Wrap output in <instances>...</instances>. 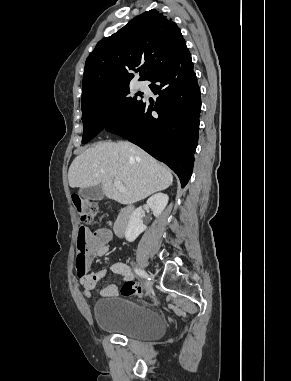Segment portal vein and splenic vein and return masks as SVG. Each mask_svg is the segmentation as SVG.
Segmentation results:
<instances>
[{
  "mask_svg": "<svg viewBox=\"0 0 291 381\" xmlns=\"http://www.w3.org/2000/svg\"><path fill=\"white\" fill-rule=\"evenodd\" d=\"M114 185L119 188L120 190H125V187L123 186L122 182L119 180L114 181Z\"/></svg>",
  "mask_w": 291,
  "mask_h": 381,
  "instance_id": "portal-vein-and-splenic-vein-1",
  "label": "portal vein and splenic vein"
}]
</instances>
